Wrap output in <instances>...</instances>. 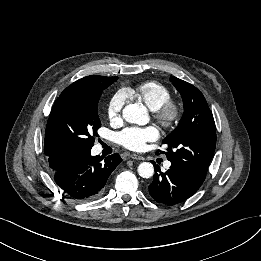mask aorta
<instances>
[{
	"instance_id": "762f6f07",
	"label": "aorta",
	"mask_w": 261,
	"mask_h": 261,
	"mask_svg": "<svg viewBox=\"0 0 261 261\" xmlns=\"http://www.w3.org/2000/svg\"><path fill=\"white\" fill-rule=\"evenodd\" d=\"M123 118L129 123L145 125L149 121L147 109L142 104H129L123 109ZM138 174L142 178H150L154 174V167L149 162H143L138 166Z\"/></svg>"
}]
</instances>
